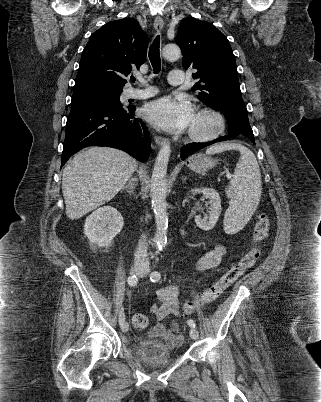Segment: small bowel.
<instances>
[{"label": "small bowel", "mask_w": 321, "mask_h": 402, "mask_svg": "<svg viewBox=\"0 0 321 402\" xmlns=\"http://www.w3.org/2000/svg\"><path fill=\"white\" fill-rule=\"evenodd\" d=\"M226 255V247L222 244L216 245L213 249L206 252L196 262V268L199 271L211 270L218 267ZM159 301L158 305L151 307V312L157 320L150 331L153 337L164 340L170 346H176L181 343L182 335L177 322L173 321L168 327L165 319L171 315H180L179 287L177 285H168L159 288L156 292Z\"/></svg>", "instance_id": "obj_1"}]
</instances>
